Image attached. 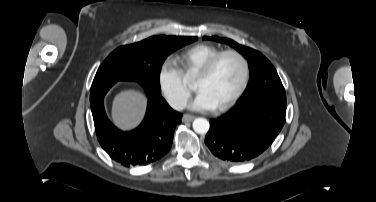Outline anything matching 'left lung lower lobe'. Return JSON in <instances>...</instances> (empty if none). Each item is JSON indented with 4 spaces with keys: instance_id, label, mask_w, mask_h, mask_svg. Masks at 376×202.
<instances>
[{
    "instance_id": "obj_1",
    "label": "left lung lower lobe",
    "mask_w": 376,
    "mask_h": 202,
    "mask_svg": "<svg viewBox=\"0 0 376 202\" xmlns=\"http://www.w3.org/2000/svg\"><path fill=\"white\" fill-rule=\"evenodd\" d=\"M287 105L260 98L210 121L205 144L218 158L244 162L263 153L285 123Z\"/></svg>"
}]
</instances>
